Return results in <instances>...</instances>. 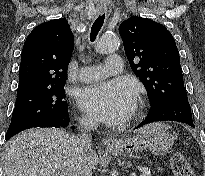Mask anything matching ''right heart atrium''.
Masks as SVG:
<instances>
[{
    "instance_id": "1",
    "label": "right heart atrium",
    "mask_w": 205,
    "mask_h": 176,
    "mask_svg": "<svg viewBox=\"0 0 205 176\" xmlns=\"http://www.w3.org/2000/svg\"><path fill=\"white\" fill-rule=\"evenodd\" d=\"M82 121H83V123L86 124V125H92V124H93V120H92V118L89 117V116H83V117H82Z\"/></svg>"
}]
</instances>
